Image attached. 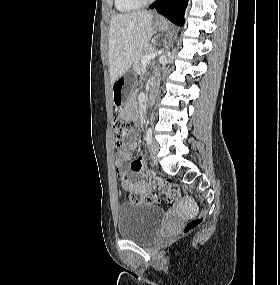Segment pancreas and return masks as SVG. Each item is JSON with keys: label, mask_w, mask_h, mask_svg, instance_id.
<instances>
[{"label": "pancreas", "mask_w": 280, "mask_h": 285, "mask_svg": "<svg viewBox=\"0 0 280 285\" xmlns=\"http://www.w3.org/2000/svg\"><path fill=\"white\" fill-rule=\"evenodd\" d=\"M152 53V50L150 49V46L148 45V47H146L141 53L140 55L136 58V60L133 63V70L138 74L141 71L142 68V63H141V59L143 56L145 55H149Z\"/></svg>", "instance_id": "1"}]
</instances>
